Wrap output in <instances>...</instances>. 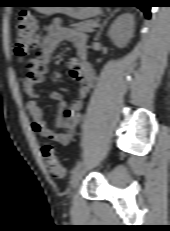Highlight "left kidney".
I'll use <instances>...</instances> for the list:
<instances>
[{
    "label": "left kidney",
    "mask_w": 170,
    "mask_h": 231,
    "mask_svg": "<svg viewBox=\"0 0 170 231\" xmlns=\"http://www.w3.org/2000/svg\"><path fill=\"white\" fill-rule=\"evenodd\" d=\"M134 18L130 14L120 15L111 25L109 36L114 44L122 48L127 45L133 36Z\"/></svg>",
    "instance_id": "1"
}]
</instances>
